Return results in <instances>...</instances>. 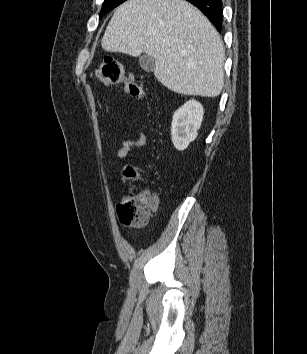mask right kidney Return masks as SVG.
I'll list each match as a JSON object with an SVG mask.
<instances>
[{"instance_id":"right-kidney-1","label":"right kidney","mask_w":307,"mask_h":354,"mask_svg":"<svg viewBox=\"0 0 307 354\" xmlns=\"http://www.w3.org/2000/svg\"><path fill=\"white\" fill-rule=\"evenodd\" d=\"M203 114L202 105L193 99L175 111L171 124V138L177 150L186 149L189 143L196 139Z\"/></svg>"}]
</instances>
